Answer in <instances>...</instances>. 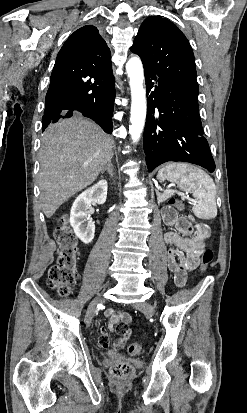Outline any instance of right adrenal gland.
<instances>
[{
	"mask_svg": "<svg viewBox=\"0 0 247 413\" xmlns=\"http://www.w3.org/2000/svg\"><path fill=\"white\" fill-rule=\"evenodd\" d=\"M105 170H107V172H109L110 176H113V164L111 162V160H108V164H106L105 168H102L101 172L103 174V172H105Z\"/></svg>",
	"mask_w": 247,
	"mask_h": 413,
	"instance_id": "2a0ac1e0",
	"label": "right adrenal gland"
}]
</instances>
